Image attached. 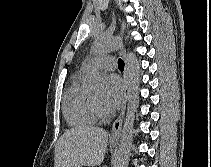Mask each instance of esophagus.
I'll return each instance as SVG.
<instances>
[{"label":"esophagus","mask_w":211,"mask_h":167,"mask_svg":"<svg viewBox=\"0 0 211 167\" xmlns=\"http://www.w3.org/2000/svg\"><path fill=\"white\" fill-rule=\"evenodd\" d=\"M120 54L122 55L124 61H125V70H124V80H125V93H124V99H123V104H122V109L121 112L118 116V118L115 120L112 126V131L110 135V140L111 141H118L121 135V129H122V122L125 114V108H126V101L129 93V78H128V65H127V58H126V53L123 49V47L120 50Z\"/></svg>","instance_id":"obj_1"}]
</instances>
